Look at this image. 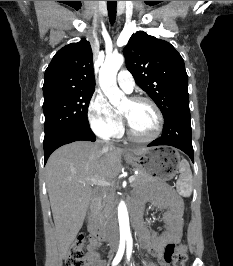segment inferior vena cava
<instances>
[{
	"mask_svg": "<svg viewBox=\"0 0 233 266\" xmlns=\"http://www.w3.org/2000/svg\"><path fill=\"white\" fill-rule=\"evenodd\" d=\"M106 144L109 145L108 143H106ZM107 228L111 232L112 236L114 238H116V236H117L116 221H115V218L113 215H111L110 218L108 219Z\"/></svg>",
	"mask_w": 233,
	"mask_h": 266,
	"instance_id": "inferior-vena-cava-1",
	"label": "inferior vena cava"
}]
</instances>
